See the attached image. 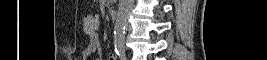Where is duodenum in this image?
I'll list each match as a JSON object with an SVG mask.
<instances>
[{
  "label": "duodenum",
  "mask_w": 267,
  "mask_h": 60,
  "mask_svg": "<svg viewBox=\"0 0 267 60\" xmlns=\"http://www.w3.org/2000/svg\"><path fill=\"white\" fill-rule=\"evenodd\" d=\"M109 15H110V18L115 20L118 16V13H117V10L116 9H110L109 10Z\"/></svg>",
  "instance_id": "duodenum-1"
}]
</instances>
